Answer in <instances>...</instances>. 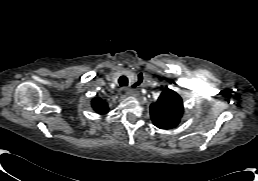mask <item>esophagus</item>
Returning <instances> with one entry per match:
<instances>
[{
	"instance_id": "34e87169",
	"label": "esophagus",
	"mask_w": 258,
	"mask_h": 181,
	"mask_svg": "<svg viewBox=\"0 0 258 181\" xmlns=\"http://www.w3.org/2000/svg\"><path fill=\"white\" fill-rule=\"evenodd\" d=\"M124 91H125L127 94H131V93H132V89H129V88H125Z\"/></svg>"
}]
</instances>
